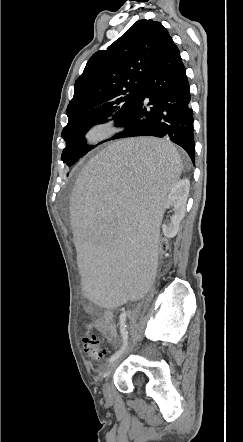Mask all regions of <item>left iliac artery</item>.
Returning a JSON list of instances; mask_svg holds the SVG:
<instances>
[{"instance_id":"obj_1","label":"left iliac artery","mask_w":243,"mask_h":442,"mask_svg":"<svg viewBox=\"0 0 243 442\" xmlns=\"http://www.w3.org/2000/svg\"><path fill=\"white\" fill-rule=\"evenodd\" d=\"M128 312H123L120 315L119 323H120V331L123 337V345L121 348L116 351L114 354L111 355L109 358V362H112L113 360L119 358L124 350L126 349L127 343H128V332H127V325H126V318H127Z\"/></svg>"}]
</instances>
